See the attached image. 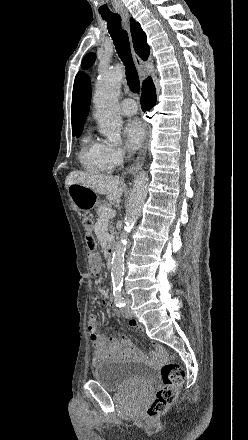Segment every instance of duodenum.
Listing matches in <instances>:
<instances>
[{"instance_id":"duodenum-1","label":"duodenum","mask_w":248,"mask_h":440,"mask_svg":"<svg viewBox=\"0 0 248 440\" xmlns=\"http://www.w3.org/2000/svg\"><path fill=\"white\" fill-rule=\"evenodd\" d=\"M115 252V245L113 243H110L107 247V260L108 263L111 262L113 254Z\"/></svg>"}]
</instances>
